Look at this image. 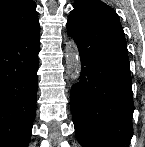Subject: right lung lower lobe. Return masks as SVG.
<instances>
[{
	"label": "right lung lower lobe",
	"instance_id": "right-lung-lower-lobe-1",
	"mask_svg": "<svg viewBox=\"0 0 145 147\" xmlns=\"http://www.w3.org/2000/svg\"><path fill=\"white\" fill-rule=\"evenodd\" d=\"M39 26L0 44V147H28L35 116Z\"/></svg>",
	"mask_w": 145,
	"mask_h": 147
}]
</instances>
